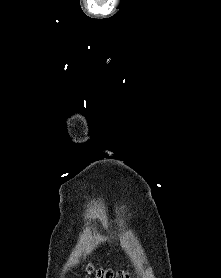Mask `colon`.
Masks as SVG:
<instances>
[{"instance_id":"colon-1","label":"colon","mask_w":221,"mask_h":278,"mask_svg":"<svg viewBox=\"0 0 221 278\" xmlns=\"http://www.w3.org/2000/svg\"><path fill=\"white\" fill-rule=\"evenodd\" d=\"M90 271L95 274L96 278H131L130 273L125 270L113 271L112 269H93Z\"/></svg>"}]
</instances>
